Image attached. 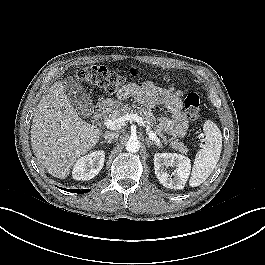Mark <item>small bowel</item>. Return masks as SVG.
I'll use <instances>...</instances> for the list:
<instances>
[{
	"label": "small bowel",
	"mask_w": 265,
	"mask_h": 265,
	"mask_svg": "<svg viewBox=\"0 0 265 265\" xmlns=\"http://www.w3.org/2000/svg\"><path fill=\"white\" fill-rule=\"evenodd\" d=\"M133 97L143 106H161L169 116L161 117L159 125L174 137H181L187 129V119L183 113L182 94L171 87L161 88L150 81L141 84L132 82L124 86L118 93L119 99Z\"/></svg>",
	"instance_id": "1"
}]
</instances>
